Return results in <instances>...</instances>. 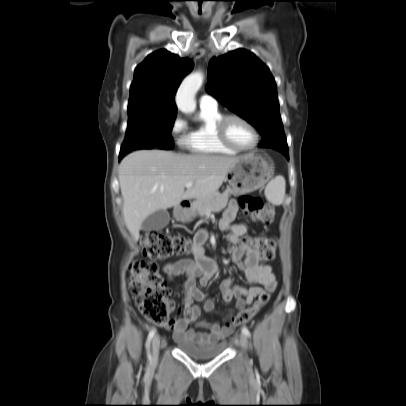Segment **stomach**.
<instances>
[{
  "label": "stomach",
  "instance_id": "1",
  "mask_svg": "<svg viewBox=\"0 0 406 406\" xmlns=\"http://www.w3.org/2000/svg\"><path fill=\"white\" fill-rule=\"evenodd\" d=\"M273 164L262 155L252 152L240 157V160L226 175V180L231 186V193L243 194L253 192L263 186L271 179ZM193 210L177 207L174 210V217L177 220L190 221Z\"/></svg>",
  "mask_w": 406,
  "mask_h": 406
}]
</instances>
